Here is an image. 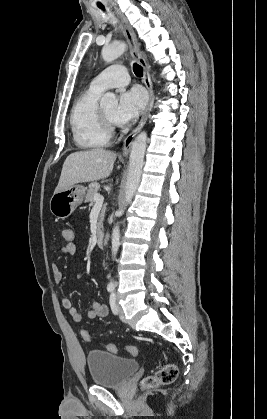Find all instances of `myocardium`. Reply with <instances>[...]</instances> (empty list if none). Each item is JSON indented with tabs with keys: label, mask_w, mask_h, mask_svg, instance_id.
Returning a JSON list of instances; mask_svg holds the SVG:
<instances>
[{
	"label": "myocardium",
	"mask_w": 267,
	"mask_h": 419,
	"mask_svg": "<svg viewBox=\"0 0 267 419\" xmlns=\"http://www.w3.org/2000/svg\"><path fill=\"white\" fill-rule=\"evenodd\" d=\"M100 118L103 127L107 131V133L109 135L113 134L116 130V123L107 116V114L102 108H100Z\"/></svg>",
	"instance_id": "f54148a6"
}]
</instances>
